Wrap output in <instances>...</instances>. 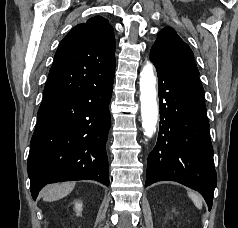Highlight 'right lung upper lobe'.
I'll use <instances>...</instances> for the list:
<instances>
[{
    "mask_svg": "<svg viewBox=\"0 0 238 228\" xmlns=\"http://www.w3.org/2000/svg\"><path fill=\"white\" fill-rule=\"evenodd\" d=\"M115 45L113 28L101 16L75 26L56 51L42 102L88 90L113 77Z\"/></svg>",
    "mask_w": 238,
    "mask_h": 228,
    "instance_id": "right-lung-upper-lobe-1",
    "label": "right lung upper lobe"
}]
</instances>
